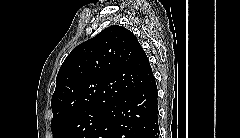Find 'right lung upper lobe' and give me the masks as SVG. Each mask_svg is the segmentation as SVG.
Wrapping results in <instances>:
<instances>
[{"label":"right lung upper lobe","instance_id":"cb5924a9","mask_svg":"<svg viewBox=\"0 0 240 138\" xmlns=\"http://www.w3.org/2000/svg\"><path fill=\"white\" fill-rule=\"evenodd\" d=\"M153 79L134 34L110 26L78 45L61 65L51 100L52 121L85 109H108Z\"/></svg>","mask_w":240,"mask_h":138}]
</instances>
